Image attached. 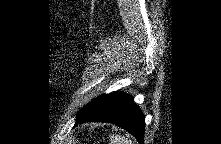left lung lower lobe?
<instances>
[{
  "instance_id": "0a47b994",
  "label": "left lung lower lobe",
  "mask_w": 221,
  "mask_h": 144,
  "mask_svg": "<svg viewBox=\"0 0 221 144\" xmlns=\"http://www.w3.org/2000/svg\"><path fill=\"white\" fill-rule=\"evenodd\" d=\"M110 122L130 132L140 144L144 142V115L134 104L132 96L124 92H112L84 115L77 117L75 124L83 122Z\"/></svg>"
}]
</instances>
